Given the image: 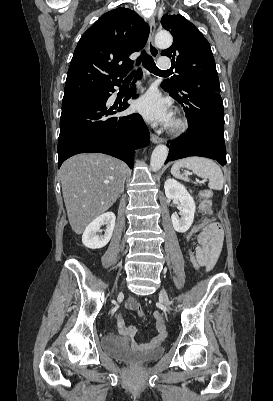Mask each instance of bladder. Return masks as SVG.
<instances>
[{"instance_id":"1","label":"bladder","mask_w":273,"mask_h":401,"mask_svg":"<svg viewBox=\"0 0 273 401\" xmlns=\"http://www.w3.org/2000/svg\"><path fill=\"white\" fill-rule=\"evenodd\" d=\"M101 346L107 355L133 366L144 365L156 360L164 351L161 346H156L145 351L133 352L121 340L111 335L103 337Z\"/></svg>"}]
</instances>
